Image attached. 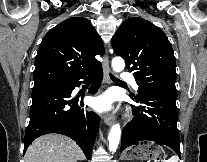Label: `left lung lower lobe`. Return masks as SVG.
Instances as JSON below:
<instances>
[{
  "mask_svg": "<svg viewBox=\"0 0 207 162\" xmlns=\"http://www.w3.org/2000/svg\"><path fill=\"white\" fill-rule=\"evenodd\" d=\"M135 99L140 106H132L135 116L123 129L121 151L139 141H154L172 148L180 157L177 92L148 89Z\"/></svg>",
  "mask_w": 207,
  "mask_h": 162,
  "instance_id": "0a47b994",
  "label": "left lung lower lobe"
}]
</instances>
